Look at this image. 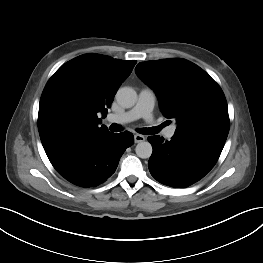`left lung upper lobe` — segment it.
<instances>
[{
  "instance_id": "1",
  "label": "left lung upper lobe",
  "mask_w": 263,
  "mask_h": 263,
  "mask_svg": "<svg viewBox=\"0 0 263 263\" xmlns=\"http://www.w3.org/2000/svg\"><path fill=\"white\" fill-rule=\"evenodd\" d=\"M135 72L157 94L166 118L177 132L226 139L228 106L219 85L200 67L183 59L140 62Z\"/></svg>"
}]
</instances>
